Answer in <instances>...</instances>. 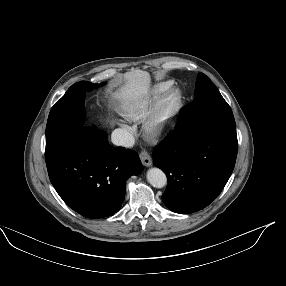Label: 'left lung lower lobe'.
<instances>
[{
    "instance_id": "obj_1",
    "label": "left lung lower lobe",
    "mask_w": 286,
    "mask_h": 286,
    "mask_svg": "<svg viewBox=\"0 0 286 286\" xmlns=\"http://www.w3.org/2000/svg\"><path fill=\"white\" fill-rule=\"evenodd\" d=\"M235 126L179 124L153 152L154 165L166 173L162 199L171 211L188 214L208 206L223 190L235 166Z\"/></svg>"
}]
</instances>
